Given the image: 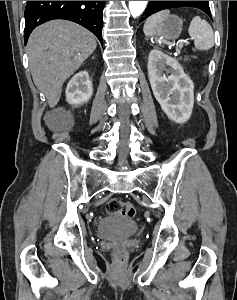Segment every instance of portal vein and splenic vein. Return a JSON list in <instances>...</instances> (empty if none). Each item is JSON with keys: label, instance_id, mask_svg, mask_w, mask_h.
I'll return each instance as SVG.
<instances>
[{"label": "portal vein and splenic vein", "instance_id": "18ae733b", "mask_svg": "<svg viewBox=\"0 0 237 300\" xmlns=\"http://www.w3.org/2000/svg\"><path fill=\"white\" fill-rule=\"evenodd\" d=\"M182 43H188V41H182V42H179V47L182 49L184 46L182 45Z\"/></svg>", "mask_w": 237, "mask_h": 300}]
</instances>
